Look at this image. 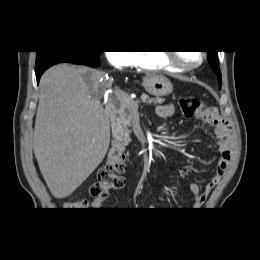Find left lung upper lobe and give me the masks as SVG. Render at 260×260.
Here are the masks:
<instances>
[{"mask_svg":"<svg viewBox=\"0 0 260 260\" xmlns=\"http://www.w3.org/2000/svg\"><path fill=\"white\" fill-rule=\"evenodd\" d=\"M216 52L217 51H208V53H209L208 59H209V64L213 68L214 72L217 74L219 83L221 84V72L219 69L218 58H217Z\"/></svg>","mask_w":260,"mask_h":260,"instance_id":"5c2ea615","label":"left lung upper lobe"}]
</instances>
